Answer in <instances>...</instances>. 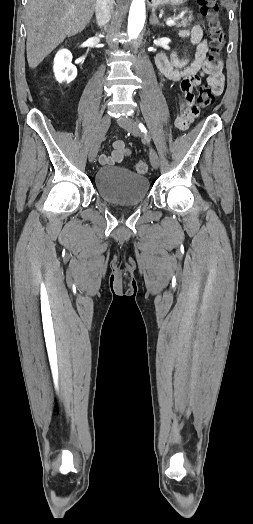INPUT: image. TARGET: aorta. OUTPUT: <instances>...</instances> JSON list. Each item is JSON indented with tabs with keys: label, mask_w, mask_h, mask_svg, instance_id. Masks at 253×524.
<instances>
[{
	"label": "aorta",
	"mask_w": 253,
	"mask_h": 524,
	"mask_svg": "<svg viewBox=\"0 0 253 524\" xmlns=\"http://www.w3.org/2000/svg\"><path fill=\"white\" fill-rule=\"evenodd\" d=\"M145 0H132L128 19V36L131 39L138 37L145 22Z\"/></svg>",
	"instance_id": "aorta-1"
}]
</instances>
